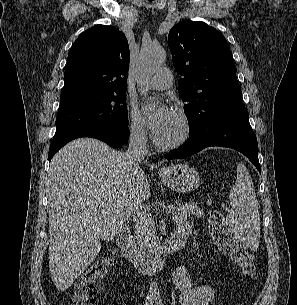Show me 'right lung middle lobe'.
Masks as SVG:
<instances>
[{
	"label": "right lung middle lobe",
	"mask_w": 297,
	"mask_h": 305,
	"mask_svg": "<svg viewBox=\"0 0 297 305\" xmlns=\"http://www.w3.org/2000/svg\"><path fill=\"white\" fill-rule=\"evenodd\" d=\"M125 92L88 93L61 99L51 146H57L71 135L89 128L127 127Z\"/></svg>",
	"instance_id": "1"
}]
</instances>
